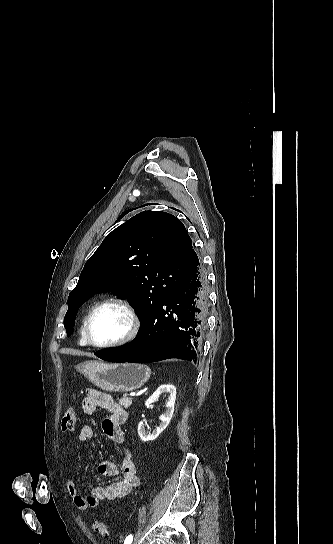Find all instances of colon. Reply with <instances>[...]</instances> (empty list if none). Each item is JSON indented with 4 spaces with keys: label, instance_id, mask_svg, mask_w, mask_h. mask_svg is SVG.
<instances>
[{
    "label": "colon",
    "instance_id": "obj_1",
    "mask_svg": "<svg viewBox=\"0 0 333 544\" xmlns=\"http://www.w3.org/2000/svg\"><path fill=\"white\" fill-rule=\"evenodd\" d=\"M77 421V413L73 407L69 408L64 414L61 421V428L63 431H71L74 429ZM94 531L102 538L109 537V527L102 521H95L93 523Z\"/></svg>",
    "mask_w": 333,
    "mask_h": 544
}]
</instances>
